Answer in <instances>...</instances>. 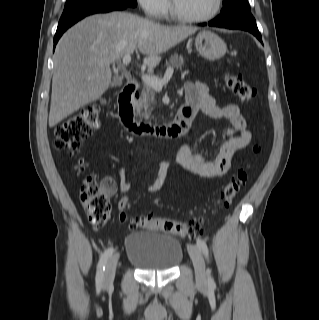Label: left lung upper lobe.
Instances as JSON below:
<instances>
[{
	"label": "left lung upper lobe",
	"instance_id": "left-lung-upper-lobe-1",
	"mask_svg": "<svg viewBox=\"0 0 319 320\" xmlns=\"http://www.w3.org/2000/svg\"><path fill=\"white\" fill-rule=\"evenodd\" d=\"M233 12L250 13L248 0H223V8L220 16H225Z\"/></svg>",
	"mask_w": 319,
	"mask_h": 320
}]
</instances>
